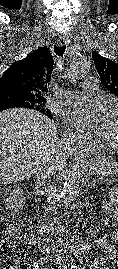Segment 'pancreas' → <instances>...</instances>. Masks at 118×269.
<instances>
[{
  "label": "pancreas",
  "mask_w": 118,
  "mask_h": 269,
  "mask_svg": "<svg viewBox=\"0 0 118 269\" xmlns=\"http://www.w3.org/2000/svg\"><path fill=\"white\" fill-rule=\"evenodd\" d=\"M114 182V177H99L97 180L98 184L111 185ZM105 189H108V186H105Z\"/></svg>",
  "instance_id": "obj_1"
}]
</instances>
